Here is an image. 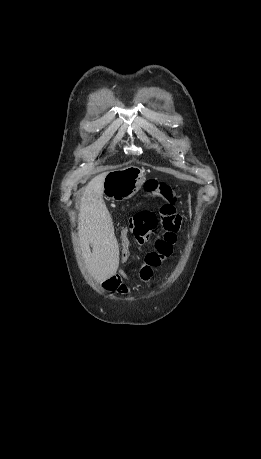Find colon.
Here are the masks:
<instances>
[{
    "instance_id": "colon-1",
    "label": "colon",
    "mask_w": 261,
    "mask_h": 459,
    "mask_svg": "<svg viewBox=\"0 0 261 459\" xmlns=\"http://www.w3.org/2000/svg\"><path fill=\"white\" fill-rule=\"evenodd\" d=\"M144 195L151 199L157 198L163 201L160 208V222H158L154 212L145 210L136 213L130 219L129 225L121 228V236L118 238L120 244L118 251L125 261L132 259L129 246L131 230L140 235L153 231L157 234H166L167 238H176L179 230L181 217L175 209L177 197L172 188L164 182L149 180L145 183Z\"/></svg>"
}]
</instances>
